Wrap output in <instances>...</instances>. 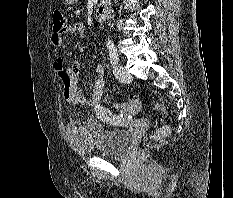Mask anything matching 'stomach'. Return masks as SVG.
<instances>
[{"instance_id":"1","label":"stomach","mask_w":233,"mask_h":198,"mask_svg":"<svg viewBox=\"0 0 233 198\" xmlns=\"http://www.w3.org/2000/svg\"><path fill=\"white\" fill-rule=\"evenodd\" d=\"M78 0H65V2L67 3V4H74V3H76Z\"/></svg>"}]
</instances>
